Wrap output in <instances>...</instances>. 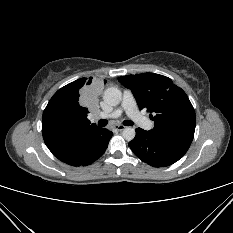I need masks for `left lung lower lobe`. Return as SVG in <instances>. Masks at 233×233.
I'll use <instances>...</instances> for the list:
<instances>
[{"label":"left lung lower lobe","instance_id":"obj_1","mask_svg":"<svg viewBox=\"0 0 233 233\" xmlns=\"http://www.w3.org/2000/svg\"><path fill=\"white\" fill-rule=\"evenodd\" d=\"M129 146L143 162L153 167H165L181 159L190 145L161 140L149 131L137 128Z\"/></svg>","mask_w":233,"mask_h":233}]
</instances>
